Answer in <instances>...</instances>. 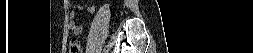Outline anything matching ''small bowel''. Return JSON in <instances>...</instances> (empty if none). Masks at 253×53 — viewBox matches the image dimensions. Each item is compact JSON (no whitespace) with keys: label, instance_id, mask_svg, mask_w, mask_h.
<instances>
[{"label":"small bowel","instance_id":"obj_1","mask_svg":"<svg viewBox=\"0 0 253 53\" xmlns=\"http://www.w3.org/2000/svg\"><path fill=\"white\" fill-rule=\"evenodd\" d=\"M87 11L90 12V13H93L95 11V9H94V7H88ZM69 16H70L69 29L75 35L80 34L82 32V27L75 22V20H74V17H75L74 11H71Z\"/></svg>","mask_w":253,"mask_h":53}]
</instances>
